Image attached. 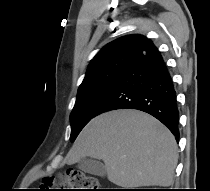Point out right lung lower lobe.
<instances>
[{"mask_svg": "<svg viewBox=\"0 0 210 191\" xmlns=\"http://www.w3.org/2000/svg\"><path fill=\"white\" fill-rule=\"evenodd\" d=\"M124 108L154 116L179 140V111L173 81L160 52L149 39L131 57L97 115Z\"/></svg>", "mask_w": 210, "mask_h": 191, "instance_id": "98d812e1", "label": "right lung lower lobe"}]
</instances>
